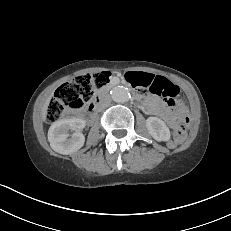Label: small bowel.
Here are the masks:
<instances>
[{
	"label": "small bowel",
	"mask_w": 231,
	"mask_h": 231,
	"mask_svg": "<svg viewBox=\"0 0 231 231\" xmlns=\"http://www.w3.org/2000/svg\"><path fill=\"white\" fill-rule=\"evenodd\" d=\"M138 75L140 79L135 80L132 76ZM128 82L138 89H146L151 92V95L146 97L144 102L145 110L157 116H162L169 124H174L176 121L175 116L171 112L172 100L165 95L169 86H175L165 76L158 75L151 72H129L127 74ZM136 85H133V84ZM161 96L162 98H160ZM184 111V107H181Z\"/></svg>",
	"instance_id": "obj_1"
}]
</instances>
